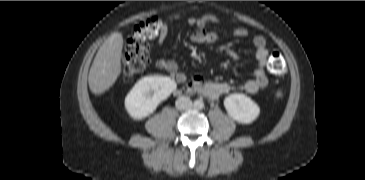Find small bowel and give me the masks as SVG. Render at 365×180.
Instances as JSON below:
<instances>
[{
	"label": "small bowel",
	"instance_id": "small-bowel-1",
	"mask_svg": "<svg viewBox=\"0 0 365 180\" xmlns=\"http://www.w3.org/2000/svg\"><path fill=\"white\" fill-rule=\"evenodd\" d=\"M184 19L189 25L195 26L197 29L193 32L191 38L198 43H211L217 40L218 32L215 29L209 28V25L218 26L220 20L215 15H206L202 17H183L181 14L171 15L167 22L163 24L160 33L157 35V43L162 45L168 34V24ZM249 32L246 28H236L231 32L235 38H246ZM255 48V58L257 67L254 70V78L243 82L239 89L240 91L254 95L262 90L267 85L266 66L268 58V49L266 40L263 36L257 35L252 40ZM228 55L233 62L239 60V55L234 50H229ZM155 66L175 74L176 81L183 85L185 91L189 93H199L210 100H217L221 96L234 90V86L228 82H207L201 78L188 80L184 72L181 71L179 65L172 60L157 59Z\"/></svg>",
	"mask_w": 365,
	"mask_h": 180
}]
</instances>
